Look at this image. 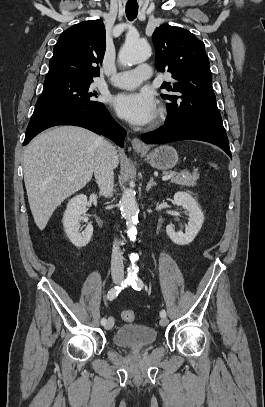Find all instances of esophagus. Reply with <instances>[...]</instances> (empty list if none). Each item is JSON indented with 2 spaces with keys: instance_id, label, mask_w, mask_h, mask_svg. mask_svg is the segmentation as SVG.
Instances as JSON below:
<instances>
[{
  "instance_id": "1",
  "label": "esophagus",
  "mask_w": 265,
  "mask_h": 407,
  "mask_svg": "<svg viewBox=\"0 0 265 407\" xmlns=\"http://www.w3.org/2000/svg\"><path fill=\"white\" fill-rule=\"evenodd\" d=\"M131 144H132V147H133V149L135 151H142L144 149V145L142 144V142L138 138L132 139Z\"/></svg>"
}]
</instances>
